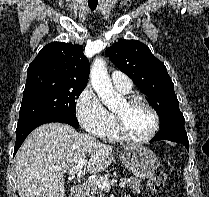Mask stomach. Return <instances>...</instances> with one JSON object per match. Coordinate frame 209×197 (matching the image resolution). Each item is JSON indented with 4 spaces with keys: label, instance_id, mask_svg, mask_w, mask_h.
Returning <instances> with one entry per match:
<instances>
[{
    "label": "stomach",
    "instance_id": "1",
    "mask_svg": "<svg viewBox=\"0 0 209 197\" xmlns=\"http://www.w3.org/2000/svg\"><path fill=\"white\" fill-rule=\"evenodd\" d=\"M125 167L139 178H150L159 166L156 155L146 147H132L121 156Z\"/></svg>",
    "mask_w": 209,
    "mask_h": 197
}]
</instances>
